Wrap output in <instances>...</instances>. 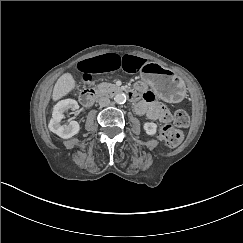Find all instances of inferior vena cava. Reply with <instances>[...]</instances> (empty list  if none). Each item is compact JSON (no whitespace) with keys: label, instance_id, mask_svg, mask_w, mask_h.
<instances>
[{"label":"inferior vena cava","instance_id":"1","mask_svg":"<svg viewBox=\"0 0 243 243\" xmlns=\"http://www.w3.org/2000/svg\"><path fill=\"white\" fill-rule=\"evenodd\" d=\"M110 104V99L107 96H102L99 98V105L101 107L108 106Z\"/></svg>","mask_w":243,"mask_h":243}]
</instances>
